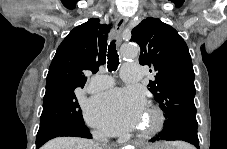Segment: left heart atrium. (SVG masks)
I'll use <instances>...</instances> for the list:
<instances>
[{
    "mask_svg": "<svg viewBox=\"0 0 227 149\" xmlns=\"http://www.w3.org/2000/svg\"><path fill=\"white\" fill-rule=\"evenodd\" d=\"M145 98L134 89H113L93 96L86 104V120L108 134H121L138 126Z\"/></svg>",
    "mask_w": 227,
    "mask_h": 149,
    "instance_id": "1",
    "label": "left heart atrium"
}]
</instances>
